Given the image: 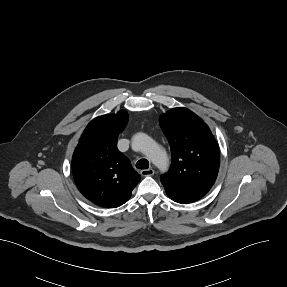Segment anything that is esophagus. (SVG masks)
Instances as JSON below:
<instances>
[{"mask_svg":"<svg viewBox=\"0 0 287 287\" xmlns=\"http://www.w3.org/2000/svg\"><path fill=\"white\" fill-rule=\"evenodd\" d=\"M140 173L142 176H152V175H154V170L153 169H146V170H142Z\"/></svg>","mask_w":287,"mask_h":287,"instance_id":"1","label":"esophagus"}]
</instances>
